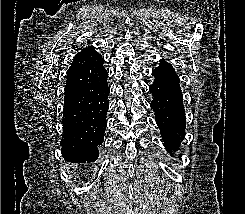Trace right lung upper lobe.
Wrapping results in <instances>:
<instances>
[{"instance_id": "right-lung-upper-lobe-1", "label": "right lung upper lobe", "mask_w": 245, "mask_h": 214, "mask_svg": "<svg viewBox=\"0 0 245 214\" xmlns=\"http://www.w3.org/2000/svg\"><path fill=\"white\" fill-rule=\"evenodd\" d=\"M104 59L90 46L80 52L79 70L80 80L88 84L101 75Z\"/></svg>"}]
</instances>
